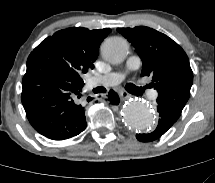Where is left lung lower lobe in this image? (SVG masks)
<instances>
[{"label": "left lung lower lobe", "instance_id": "left-lung-lower-lobe-1", "mask_svg": "<svg viewBox=\"0 0 215 183\" xmlns=\"http://www.w3.org/2000/svg\"><path fill=\"white\" fill-rule=\"evenodd\" d=\"M157 111L160 119L156 130L150 134H137V139L141 142H150L161 137L179 118L168 107L157 103Z\"/></svg>", "mask_w": 215, "mask_h": 183}]
</instances>
